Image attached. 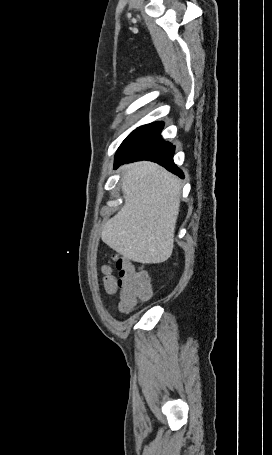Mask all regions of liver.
Returning <instances> with one entry per match:
<instances>
[{
    "mask_svg": "<svg viewBox=\"0 0 272 455\" xmlns=\"http://www.w3.org/2000/svg\"><path fill=\"white\" fill-rule=\"evenodd\" d=\"M123 169L121 189L125 202L104 224L101 239L134 262H165L174 247L180 182L176 176L151 162H137Z\"/></svg>",
    "mask_w": 272,
    "mask_h": 455,
    "instance_id": "6515ba94",
    "label": "liver"
}]
</instances>
